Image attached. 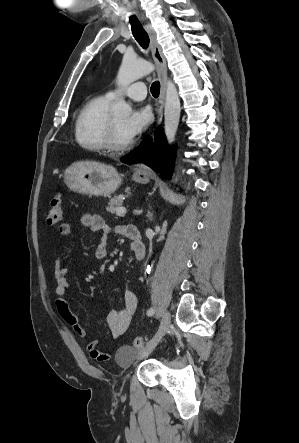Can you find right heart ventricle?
<instances>
[{
	"label": "right heart ventricle",
	"instance_id": "e07e8e85",
	"mask_svg": "<svg viewBox=\"0 0 299 443\" xmlns=\"http://www.w3.org/2000/svg\"><path fill=\"white\" fill-rule=\"evenodd\" d=\"M110 103L111 99L107 96H97L82 107L74 128L75 140L82 149L97 153L106 151Z\"/></svg>",
	"mask_w": 299,
	"mask_h": 443
}]
</instances>
